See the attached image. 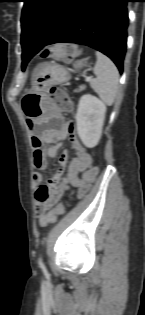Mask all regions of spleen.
I'll list each match as a JSON object with an SVG mask.
<instances>
[{"mask_svg":"<svg viewBox=\"0 0 145 315\" xmlns=\"http://www.w3.org/2000/svg\"><path fill=\"white\" fill-rule=\"evenodd\" d=\"M96 56V78L90 81V85L104 103L112 105L119 88V72L108 57L100 52H96Z\"/></svg>","mask_w":145,"mask_h":315,"instance_id":"3e777b00","label":"spleen"}]
</instances>
